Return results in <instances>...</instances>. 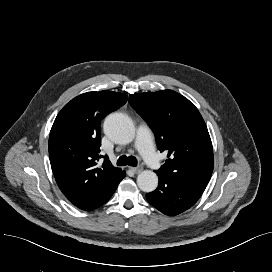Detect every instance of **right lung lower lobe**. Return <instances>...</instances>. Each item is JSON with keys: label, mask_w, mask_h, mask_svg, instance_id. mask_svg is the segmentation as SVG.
<instances>
[{"label": "right lung lower lobe", "mask_w": 272, "mask_h": 272, "mask_svg": "<svg viewBox=\"0 0 272 272\" xmlns=\"http://www.w3.org/2000/svg\"><path fill=\"white\" fill-rule=\"evenodd\" d=\"M125 177V172L123 174V176L121 177V179L102 197L100 198L96 203H94L93 205H91L90 207L83 209V210H94L100 206H102L103 204H105L113 195V193L115 192L118 184L120 183V181Z\"/></svg>", "instance_id": "obj_1"}]
</instances>
